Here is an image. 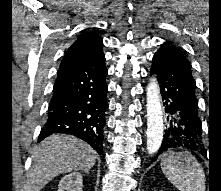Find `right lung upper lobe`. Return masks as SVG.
Here are the masks:
<instances>
[{"label":"right lung upper lobe","mask_w":221,"mask_h":191,"mask_svg":"<svg viewBox=\"0 0 221 191\" xmlns=\"http://www.w3.org/2000/svg\"><path fill=\"white\" fill-rule=\"evenodd\" d=\"M102 38L94 33L82 32L79 38L67 50L60 69L73 64L104 57Z\"/></svg>","instance_id":"1"}]
</instances>
